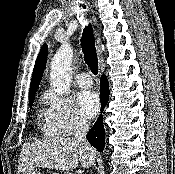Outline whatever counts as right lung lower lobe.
<instances>
[{
	"mask_svg": "<svg viewBox=\"0 0 175 174\" xmlns=\"http://www.w3.org/2000/svg\"><path fill=\"white\" fill-rule=\"evenodd\" d=\"M100 91H101V104L102 109L105 108V105L109 99V84L105 75H102L100 80ZM87 139L91 145H93L99 151H103L105 146V130L103 126V118L100 116L98 120L93 125L91 130L87 134Z\"/></svg>",
	"mask_w": 175,
	"mask_h": 174,
	"instance_id": "right-lung-lower-lobe-1",
	"label": "right lung lower lobe"
}]
</instances>
